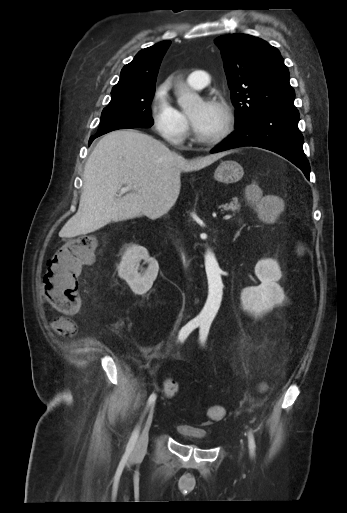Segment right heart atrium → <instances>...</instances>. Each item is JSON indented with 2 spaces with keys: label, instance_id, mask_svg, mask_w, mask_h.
<instances>
[{
  "label": "right heart atrium",
  "instance_id": "obj_1",
  "mask_svg": "<svg viewBox=\"0 0 347 513\" xmlns=\"http://www.w3.org/2000/svg\"><path fill=\"white\" fill-rule=\"evenodd\" d=\"M168 90V83L163 82L153 93L150 102L152 127L165 142L180 147L189 135V122L185 114L170 102Z\"/></svg>",
  "mask_w": 347,
  "mask_h": 513
}]
</instances>
